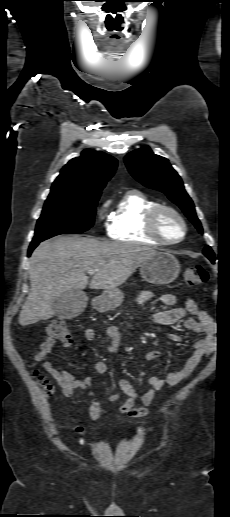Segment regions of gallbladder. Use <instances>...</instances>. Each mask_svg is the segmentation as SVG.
I'll return each mask as SVG.
<instances>
[{"label": "gallbladder", "mask_w": 230, "mask_h": 517, "mask_svg": "<svg viewBox=\"0 0 230 517\" xmlns=\"http://www.w3.org/2000/svg\"><path fill=\"white\" fill-rule=\"evenodd\" d=\"M87 295L82 290H69L54 301L55 315L60 319H70L80 315L87 304Z\"/></svg>", "instance_id": "1"}]
</instances>
